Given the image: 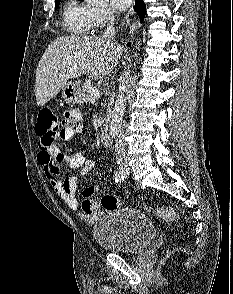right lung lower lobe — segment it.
I'll list each match as a JSON object with an SVG mask.
<instances>
[{
    "instance_id": "obj_1",
    "label": "right lung lower lobe",
    "mask_w": 233,
    "mask_h": 294,
    "mask_svg": "<svg viewBox=\"0 0 233 294\" xmlns=\"http://www.w3.org/2000/svg\"><path fill=\"white\" fill-rule=\"evenodd\" d=\"M135 11L138 13L140 20L142 22L144 19V16H145V11H146V6H145V3L143 2V0H136ZM130 45H131V43H128V46H130Z\"/></svg>"
}]
</instances>
